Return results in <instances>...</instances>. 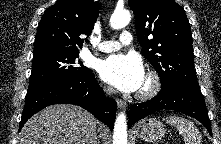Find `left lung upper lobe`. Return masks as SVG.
<instances>
[{"instance_id":"obj_1","label":"left lung upper lobe","mask_w":221,"mask_h":144,"mask_svg":"<svg viewBox=\"0 0 221 144\" xmlns=\"http://www.w3.org/2000/svg\"><path fill=\"white\" fill-rule=\"evenodd\" d=\"M135 14L143 56L157 71L161 88H199L192 56V34L184 9L174 0H128Z\"/></svg>"}]
</instances>
